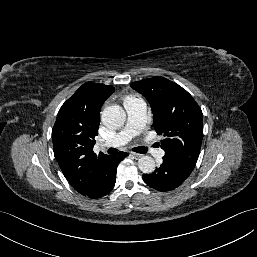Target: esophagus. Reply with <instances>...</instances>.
I'll list each match as a JSON object with an SVG mask.
<instances>
[{
  "instance_id": "esophagus-1",
  "label": "esophagus",
  "mask_w": 257,
  "mask_h": 257,
  "mask_svg": "<svg viewBox=\"0 0 257 257\" xmlns=\"http://www.w3.org/2000/svg\"><path fill=\"white\" fill-rule=\"evenodd\" d=\"M130 154H131L135 159H139V158L142 156V154L135 153V152H131Z\"/></svg>"
}]
</instances>
